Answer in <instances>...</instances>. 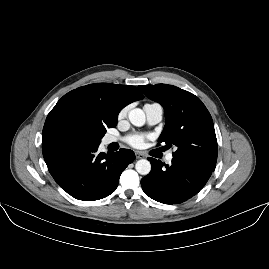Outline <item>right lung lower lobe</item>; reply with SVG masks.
I'll use <instances>...</instances> for the list:
<instances>
[{
	"label": "right lung lower lobe",
	"instance_id": "98d812e1",
	"mask_svg": "<svg viewBox=\"0 0 269 269\" xmlns=\"http://www.w3.org/2000/svg\"><path fill=\"white\" fill-rule=\"evenodd\" d=\"M99 144H80L71 139L43 144V157L57 184L72 197L93 201L112 194L123 170L133 162L129 149L98 153Z\"/></svg>",
	"mask_w": 269,
	"mask_h": 269
}]
</instances>
